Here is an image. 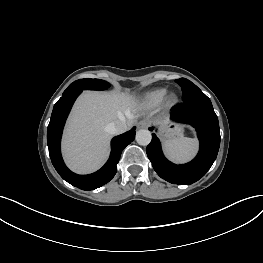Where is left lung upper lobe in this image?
Segmentation results:
<instances>
[{
	"label": "left lung upper lobe",
	"instance_id": "1",
	"mask_svg": "<svg viewBox=\"0 0 263 263\" xmlns=\"http://www.w3.org/2000/svg\"><path fill=\"white\" fill-rule=\"evenodd\" d=\"M176 82L182 87L184 101L193 97L204 95V93L195 84L185 78L176 80Z\"/></svg>",
	"mask_w": 263,
	"mask_h": 263
}]
</instances>
